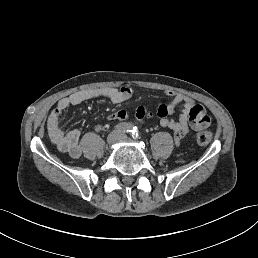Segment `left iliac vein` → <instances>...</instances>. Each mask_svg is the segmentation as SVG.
<instances>
[{
	"instance_id": "1",
	"label": "left iliac vein",
	"mask_w": 258,
	"mask_h": 258,
	"mask_svg": "<svg viewBox=\"0 0 258 258\" xmlns=\"http://www.w3.org/2000/svg\"><path fill=\"white\" fill-rule=\"evenodd\" d=\"M119 132L121 133L122 131L120 130ZM119 137H120L121 140H124V141L129 139V138L127 137L126 133H124V132L121 133Z\"/></svg>"
}]
</instances>
